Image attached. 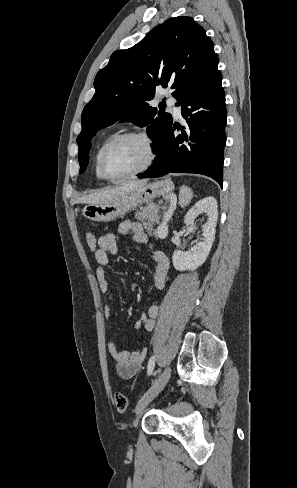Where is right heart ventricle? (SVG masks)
<instances>
[{
	"label": "right heart ventricle",
	"mask_w": 297,
	"mask_h": 488,
	"mask_svg": "<svg viewBox=\"0 0 297 488\" xmlns=\"http://www.w3.org/2000/svg\"><path fill=\"white\" fill-rule=\"evenodd\" d=\"M117 134V132L115 131H111V132H108L106 133L103 138L100 140L99 144L97 145L96 147V150H95V154H94V171H95V175L97 177V179L99 180H103L104 178L102 177L100 171H99V166H98V162H99V157H100V154L104 148V146L111 140L113 139Z\"/></svg>",
	"instance_id": "obj_1"
}]
</instances>
